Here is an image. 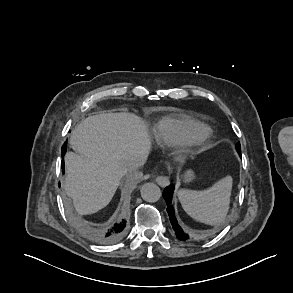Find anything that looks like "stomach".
<instances>
[{
  "label": "stomach",
  "mask_w": 293,
  "mask_h": 293,
  "mask_svg": "<svg viewBox=\"0 0 293 293\" xmlns=\"http://www.w3.org/2000/svg\"><path fill=\"white\" fill-rule=\"evenodd\" d=\"M185 182H191L195 178V173L193 170L189 169L187 170L183 175Z\"/></svg>",
  "instance_id": "0dacf381"
}]
</instances>
